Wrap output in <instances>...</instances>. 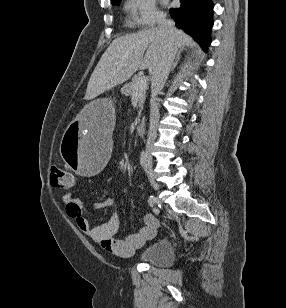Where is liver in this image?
Wrapping results in <instances>:
<instances>
[{
	"label": "liver",
	"instance_id": "1",
	"mask_svg": "<svg viewBox=\"0 0 286 308\" xmlns=\"http://www.w3.org/2000/svg\"><path fill=\"white\" fill-rule=\"evenodd\" d=\"M165 40L166 34L159 28L146 29L113 40L89 79L85 99H94L126 82L139 68H147L153 73L163 54ZM175 40L181 49L189 45L196 46L192 38L181 30L176 29ZM89 109L87 107L85 112L89 113Z\"/></svg>",
	"mask_w": 286,
	"mask_h": 308
}]
</instances>
